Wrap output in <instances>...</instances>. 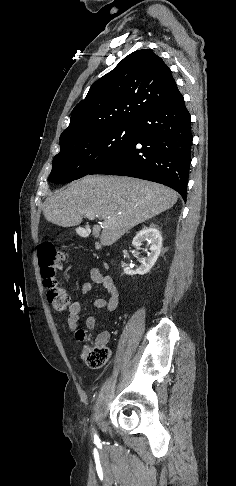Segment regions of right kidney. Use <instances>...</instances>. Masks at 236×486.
<instances>
[{
	"label": "right kidney",
	"mask_w": 236,
	"mask_h": 486,
	"mask_svg": "<svg viewBox=\"0 0 236 486\" xmlns=\"http://www.w3.org/2000/svg\"><path fill=\"white\" fill-rule=\"evenodd\" d=\"M143 241H148L150 243V252L147 258H142L141 265L136 269V271L125 270L124 272L129 275H144L150 271L157 261L161 247H162V235L158 229L155 227H147L136 234L132 241V245L140 247Z\"/></svg>",
	"instance_id": "obj_1"
}]
</instances>
